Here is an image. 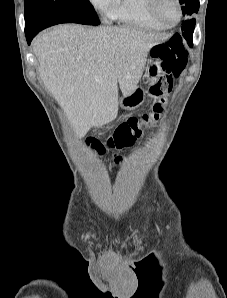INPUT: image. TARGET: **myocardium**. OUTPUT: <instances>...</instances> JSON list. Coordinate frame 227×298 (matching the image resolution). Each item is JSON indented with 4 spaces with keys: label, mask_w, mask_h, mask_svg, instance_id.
<instances>
[{
    "label": "myocardium",
    "mask_w": 227,
    "mask_h": 298,
    "mask_svg": "<svg viewBox=\"0 0 227 298\" xmlns=\"http://www.w3.org/2000/svg\"><path fill=\"white\" fill-rule=\"evenodd\" d=\"M161 0H149V12L154 19H156L161 24L165 25L166 27H172L177 25L182 17H183V7L180 0H174L178 7V18L175 22H168L159 12V5Z\"/></svg>",
    "instance_id": "obj_1"
}]
</instances>
